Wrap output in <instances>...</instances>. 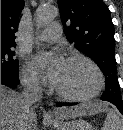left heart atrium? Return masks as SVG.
<instances>
[{
  "mask_svg": "<svg viewBox=\"0 0 123 130\" xmlns=\"http://www.w3.org/2000/svg\"><path fill=\"white\" fill-rule=\"evenodd\" d=\"M64 59L56 53H39L32 58L35 70L55 83L64 65Z\"/></svg>",
  "mask_w": 123,
  "mask_h": 130,
  "instance_id": "obj_1",
  "label": "left heart atrium"
}]
</instances>
